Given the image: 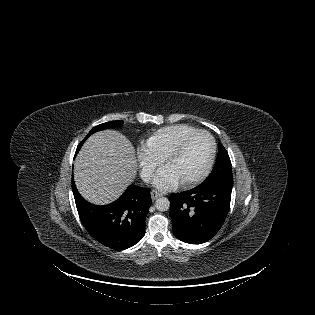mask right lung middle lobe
Listing matches in <instances>:
<instances>
[{
	"label": "right lung middle lobe",
	"mask_w": 315,
	"mask_h": 315,
	"mask_svg": "<svg viewBox=\"0 0 315 315\" xmlns=\"http://www.w3.org/2000/svg\"><path fill=\"white\" fill-rule=\"evenodd\" d=\"M122 124H123V121H121V120H118V121H110V122H106V123L100 124V125L94 127V128L88 133V135H87L86 138L83 140V142H84L91 134H93L94 132H97V131H100V130H104V129H107V128H111V127H119V126H122ZM83 142L79 145L78 150H79L80 146L83 144ZM78 150H77V151H78Z\"/></svg>",
	"instance_id": "obj_1"
}]
</instances>
